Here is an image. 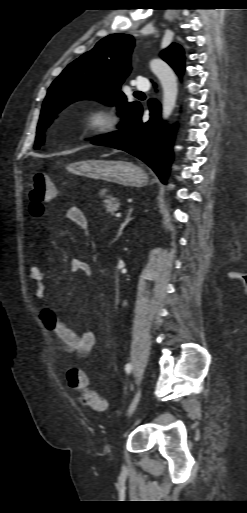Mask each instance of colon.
Returning <instances> with one entry per match:
<instances>
[{
    "instance_id": "obj_1",
    "label": "colon",
    "mask_w": 247,
    "mask_h": 513,
    "mask_svg": "<svg viewBox=\"0 0 247 513\" xmlns=\"http://www.w3.org/2000/svg\"><path fill=\"white\" fill-rule=\"evenodd\" d=\"M55 196V187L50 177L46 174H36L29 188V211L33 217H40L45 209V204ZM71 389L82 393V401L92 409L102 411L106 407L104 399L90 389L87 375L80 370H70L67 374Z\"/></svg>"
}]
</instances>
